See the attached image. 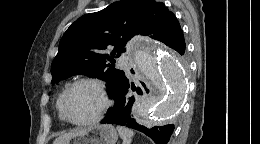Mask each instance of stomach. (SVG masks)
Wrapping results in <instances>:
<instances>
[{
	"instance_id": "obj_1",
	"label": "stomach",
	"mask_w": 260,
	"mask_h": 144,
	"mask_svg": "<svg viewBox=\"0 0 260 144\" xmlns=\"http://www.w3.org/2000/svg\"><path fill=\"white\" fill-rule=\"evenodd\" d=\"M118 134L113 125H95L83 129L71 138L67 144H116Z\"/></svg>"
}]
</instances>
